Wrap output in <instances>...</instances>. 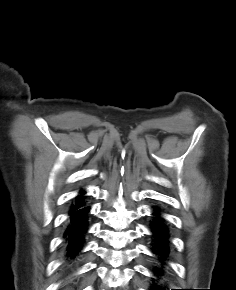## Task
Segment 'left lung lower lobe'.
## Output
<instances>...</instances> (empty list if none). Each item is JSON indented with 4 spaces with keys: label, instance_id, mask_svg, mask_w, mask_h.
Wrapping results in <instances>:
<instances>
[{
    "label": "left lung lower lobe",
    "instance_id": "obj_1",
    "mask_svg": "<svg viewBox=\"0 0 236 290\" xmlns=\"http://www.w3.org/2000/svg\"><path fill=\"white\" fill-rule=\"evenodd\" d=\"M153 215V221L150 224V229L152 232L151 250L159 257L160 260H164L167 258L169 251V233L167 226L164 223V219L160 217V210L158 208H154ZM155 270L158 271V275L163 274V270L161 268L155 267ZM154 285L155 288H153V290H165L164 288L157 286L155 283Z\"/></svg>",
    "mask_w": 236,
    "mask_h": 290
}]
</instances>
